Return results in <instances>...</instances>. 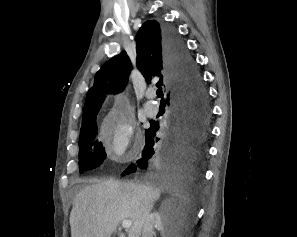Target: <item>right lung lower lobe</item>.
I'll list each match as a JSON object with an SVG mask.
<instances>
[{
    "label": "right lung lower lobe",
    "instance_id": "1",
    "mask_svg": "<svg viewBox=\"0 0 297 237\" xmlns=\"http://www.w3.org/2000/svg\"><path fill=\"white\" fill-rule=\"evenodd\" d=\"M163 45L172 85L167 95L169 118L163 138L156 136L159 123L146 130V145L142 157L131 164L123 176L137 168L150 178L171 174H202L207 149L206 118L209 114L207 95L192 59L176 30L163 25Z\"/></svg>",
    "mask_w": 297,
    "mask_h": 237
}]
</instances>
